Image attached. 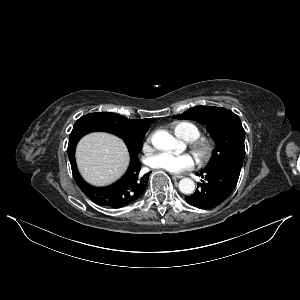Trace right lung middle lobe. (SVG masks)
Returning a JSON list of instances; mask_svg holds the SVG:
<instances>
[{
    "mask_svg": "<svg viewBox=\"0 0 300 300\" xmlns=\"http://www.w3.org/2000/svg\"><path fill=\"white\" fill-rule=\"evenodd\" d=\"M106 112H97L84 115L74 124L73 130L69 136L68 152L75 149L77 142L87 133L94 131H105L116 134L121 137L131 155H137L143 146L144 135L126 136L118 128L116 120L108 118Z\"/></svg>",
    "mask_w": 300,
    "mask_h": 300,
    "instance_id": "right-lung-middle-lobe-1",
    "label": "right lung middle lobe"
}]
</instances>
